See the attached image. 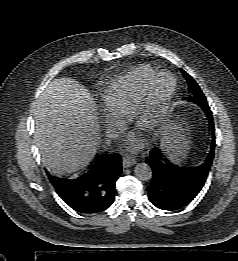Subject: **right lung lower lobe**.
Segmentation results:
<instances>
[{"mask_svg": "<svg viewBox=\"0 0 238 261\" xmlns=\"http://www.w3.org/2000/svg\"><path fill=\"white\" fill-rule=\"evenodd\" d=\"M122 173L120 155L102 154L89 170L78 177H56L48 172L58 195L75 211L100 213L114 202L116 181Z\"/></svg>", "mask_w": 238, "mask_h": 261, "instance_id": "right-lung-lower-lobe-1", "label": "right lung lower lobe"}]
</instances>
